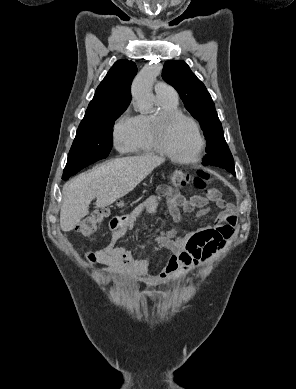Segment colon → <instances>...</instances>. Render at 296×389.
<instances>
[{"mask_svg": "<svg viewBox=\"0 0 296 389\" xmlns=\"http://www.w3.org/2000/svg\"><path fill=\"white\" fill-rule=\"evenodd\" d=\"M171 180L177 187H184L193 183V185L202 190L205 195L213 194L208 188L209 175L206 172L198 171L196 176H192L189 170L181 168L173 172ZM109 215L110 211L108 209L95 210L80 221L76 230L82 236L91 238Z\"/></svg>", "mask_w": 296, "mask_h": 389, "instance_id": "obj_1", "label": "colon"}]
</instances>
